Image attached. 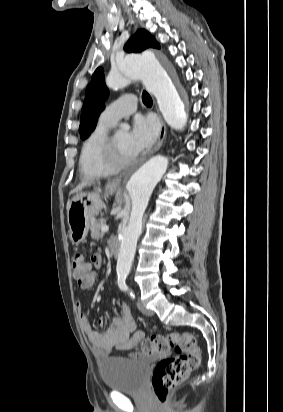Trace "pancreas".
<instances>
[{"instance_id":"obj_1","label":"pancreas","mask_w":283,"mask_h":412,"mask_svg":"<svg viewBox=\"0 0 283 412\" xmlns=\"http://www.w3.org/2000/svg\"><path fill=\"white\" fill-rule=\"evenodd\" d=\"M105 225L104 219L93 220L91 222V237L93 239H99L102 235L101 227Z\"/></svg>"}]
</instances>
